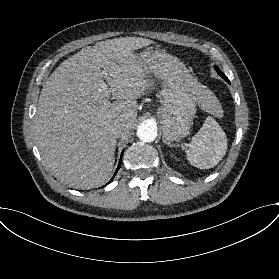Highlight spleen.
<instances>
[{"label":"spleen","instance_id":"spleen-1","mask_svg":"<svg viewBox=\"0 0 279 279\" xmlns=\"http://www.w3.org/2000/svg\"><path fill=\"white\" fill-rule=\"evenodd\" d=\"M197 101L208 113L216 117L223 116L221 104L210 90L202 87V93ZM226 150L225 132L212 117H208L198 133L192 137L186 154L188 161L195 167L209 169L222 160Z\"/></svg>","mask_w":279,"mask_h":279}]
</instances>
